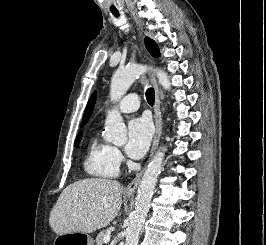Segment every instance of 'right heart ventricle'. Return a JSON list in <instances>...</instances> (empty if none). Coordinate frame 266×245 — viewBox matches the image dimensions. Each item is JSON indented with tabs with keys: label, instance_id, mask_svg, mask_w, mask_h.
<instances>
[{
	"label": "right heart ventricle",
	"instance_id": "obj_1",
	"mask_svg": "<svg viewBox=\"0 0 266 245\" xmlns=\"http://www.w3.org/2000/svg\"><path fill=\"white\" fill-rule=\"evenodd\" d=\"M84 170L87 175L98 180H112L119 176V163L115 159L113 147L93 134L86 146Z\"/></svg>",
	"mask_w": 266,
	"mask_h": 245
}]
</instances>
